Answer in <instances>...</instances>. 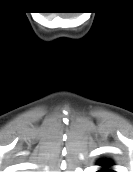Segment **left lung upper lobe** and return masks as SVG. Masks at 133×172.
Returning <instances> with one entry per match:
<instances>
[{
  "instance_id": "left-lung-upper-lobe-1",
  "label": "left lung upper lobe",
  "mask_w": 133,
  "mask_h": 172,
  "mask_svg": "<svg viewBox=\"0 0 133 172\" xmlns=\"http://www.w3.org/2000/svg\"><path fill=\"white\" fill-rule=\"evenodd\" d=\"M98 172H114L116 170L115 164H111L109 160H102L97 162ZM112 168V169H111Z\"/></svg>"
}]
</instances>
